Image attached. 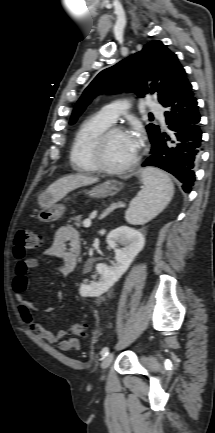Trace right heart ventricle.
<instances>
[{
	"instance_id": "1",
	"label": "right heart ventricle",
	"mask_w": 215,
	"mask_h": 433,
	"mask_svg": "<svg viewBox=\"0 0 215 433\" xmlns=\"http://www.w3.org/2000/svg\"><path fill=\"white\" fill-rule=\"evenodd\" d=\"M111 124L100 113L90 116L82 123L75 134L70 151V161L74 170L84 173L98 171L92 160V146L97 136Z\"/></svg>"
}]
</instances>
